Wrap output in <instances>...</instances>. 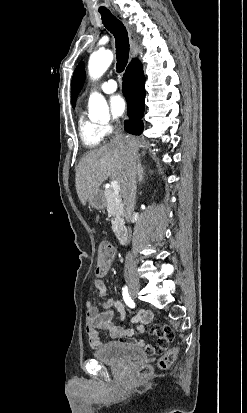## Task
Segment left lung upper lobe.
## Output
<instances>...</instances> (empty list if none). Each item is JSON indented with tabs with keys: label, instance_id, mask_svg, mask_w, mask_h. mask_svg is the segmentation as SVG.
Returning <instances> with one entry per match:
<instances>
[{
	"label": "left lung upper lobe",
	"instance_id": "left-lung-upper-lobe-1",
	"mask_svg": "<svg viewBox=\"0 0 247 413\" xmlns=\"http://www.w3.org/2000/svg\"><path fill=\"white\" fill-rule=\"evenodd\" d=\"M85 79L84 63L81 62L75 69L71 83V103L75 107L77 96Z\"/></svg>",
	"mask_w": 247,
	"mask_h": 413
}]
</instances>
